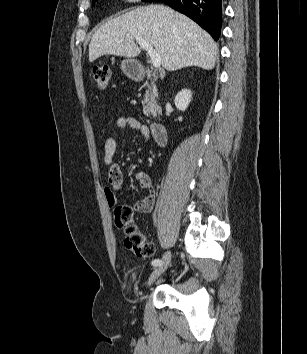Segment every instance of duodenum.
I'll list each match as a JSON object with an SVG mask.
<instances>
[{
    "label": "duodenum",
    "instance_id": "1",
    "mask_svg": "<svg viewBox=\"0 0 307 354\" xmlns=\"http://www.w3.org/2000/svg\"><path fill=\"white\" fill-rule=\"evenodd\" d=\"M153 74L150 71H146L143 75L139 76L138 79H143L144 77H152ZM150 131L154 141L163 146L167 143L168 132L165 125L161 122H153L150 124Z\"/></svg>",
    "mask_w": 307,
    "mask_h": 354
}]
</instances>
